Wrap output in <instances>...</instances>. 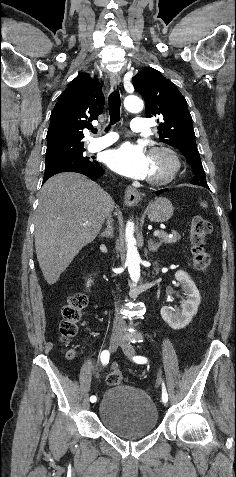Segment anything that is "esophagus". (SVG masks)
<instances>
[{
    "label": "esophagus",
    "instance_id": "obj_1",
    "mask_svg": "<svg viewBox=\"0 0 236 477\" xmlns=\"http://www.w3.org/2000/svg\"><path fill=\"white\" fill-rule=\"evenodd\" d=\"M121 82L119 74H112L110 76V85L112 90H116ZM140 193L133 187L129 186L125 190L124 202L128 206H137L140 202Z\"/></svg>",
    "mask_w": 236,
    "mask_h": 477
}]
</instances>
